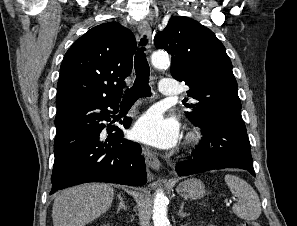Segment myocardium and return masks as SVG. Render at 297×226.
I'll use <instances>...</instances> for the list:
<instances>
[{
	"label": "myocardium",
	"mask_w": 297,
	"mask_h": 226,
	"mask_svg": "<svg viewBox=\"0 0 297 226\" xmlns=\"http://www.w3.org/2000/svg\"><path fill=\"white\" fill-rule=\"evenodd\" d=\"M199 138H200L199 134L195 132H190L187 136V140L190 144L198 142Z\"/></svg>",
	"instance_id": "obj_1"
}]
</instances>
